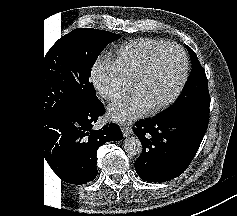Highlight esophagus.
Returning a JSON list of instances; mask_svg holds the SVG:
<instances>
[{
  "label": "esophagus",
  "mask_w": 237,
  "mask_h": 216,
  "mask_svg": "<svg viewBox=\"0 0 237 216\" xmlns=\"http://www.w3.org/2000/svg\"><path fill=\"white\" fill-rule=\"evenodd\" d=\"M122 132L124 136H127L132 133V126L129 124H124L121 126Z\"/></svg>",
  "instance_id": "34e87169"
}]
</instances>
